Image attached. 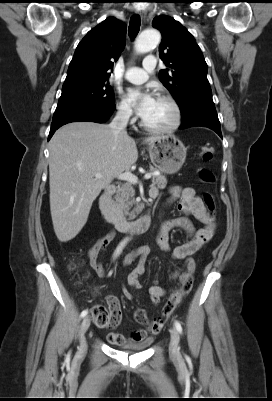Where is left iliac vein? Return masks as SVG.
Segmentation results:
<instances>
[{"label":"left iliac vein","mask_w":272,"mask_h":401,"mask_svg":"<svg viewBox=\"0 0 272 401\" xmlns=\"http://www.w3.org/2000/svg\"><path fill=\"white\" fill-rule=\"evenodd\" d=\"M179 333L176 328L172 327L170 329V345H169V351L170 355L173 358H179L180 357V349H179Z\"/></svg>","instance_id":"4c4485c4"}]
</instances>
